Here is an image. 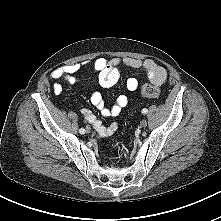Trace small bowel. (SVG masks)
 <instances>
[{
    "mask_svg": "<svg viewBox=\"0 0 221 221\" xmlns=\"http://www.w3.org/2000/svg\"><path fill=\"white\" fill-rule=\"evenodd\" d=\"M85 66H89L98 74L99 84L105 88L111 87L118 82L122 67L145 73L147 78L156 85H162L167 80L166 69L158 65L152 59L141 60L132 57L105 59L99 57L94 60L76 62L55 69L50 75L52 80L57 81L53 85L54 94L60 95L63 92L62 81L70 84L75 83V74ZM126 87L129 91H135L138 88V79L136 77L128 78ZM89 99L91 104L100 111L101 115L108 118L118 116L128 104V97L126 95H120L117 97L112 107H107L103 96L97 91L92 92ZM81 113L84 119L93 126L100 137L110 136L118 129L116 122L104 126L89 109L83 108Z\"/></svg>",
    "mask_w": 221,
    "mask_h": 221,
    "instance_id": "obj_1",
    "label": "small bowel"
}]
</instances>
